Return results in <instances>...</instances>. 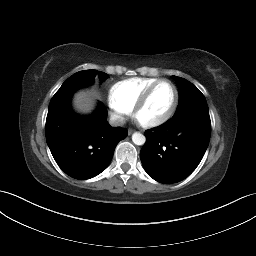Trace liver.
I'll use <instances>...</instances> for the list:
<instances>
[{"instance_id": "obj_1", "label": "liver", "mask_w": 256, "mask_h": 256, "mask_svg": "<svg viewBox=\"0 0 256 256\" xmlns=\"http://www.w3.org/2000/svg\"><path fill=\"white\" fill-rule=\"evenodd\" d=\"M99 94L96 90L92 89L91 91H80L75 94L74 105L77 110L80 112H90L93 108V100L98 98Z\"/></svg>"}]
</instances>
